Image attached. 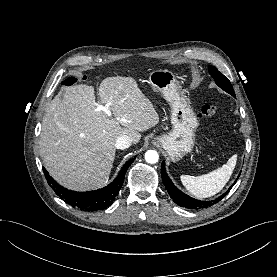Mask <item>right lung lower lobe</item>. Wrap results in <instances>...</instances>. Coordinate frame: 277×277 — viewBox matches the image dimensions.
Here are the masks:
<instances>
[{
    "instance_id": "98d812e1",
    "label": "right lung lower lobe",
    "mask_w": 277,
    "mask_h": 277,
    "mask_svg": "<svg viewBox=\"0 0 277 277\" xmlns=\"http://www.w3.org/2000/svg\"><path fill=\"white\" fill-rule=\"evenodd\" d=\"M134 159L129 160L123 166L119 175L112 183L102 189L90 192L70 191L53 180L44 167L43 170L50 187L66 203L83 211H97L103 210L112 204L123 184L127 168L132 164Z\"/></svg>"
}]
</instances>
